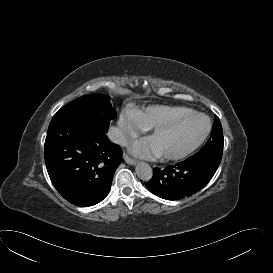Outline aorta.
Segmentation results:
<instances>
[{"label":"aorta","mask_w":273,"mask_h":273,"mask_svg":"<svg viewBox=\"0 0 273 273\" xmlns=\"http://www.w3.org/2000/svg\"><path fill=\"white\" fill-rule=\"evenodd\" d=\"M137 176L142 180H150L152 177V168L146 162H138L135 166Z\"/></svg>","instance_id":"obj_1"}]
</instances>
